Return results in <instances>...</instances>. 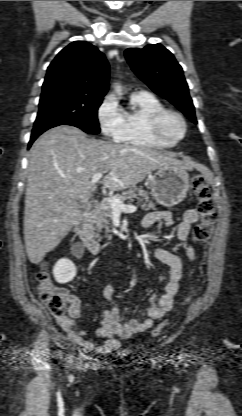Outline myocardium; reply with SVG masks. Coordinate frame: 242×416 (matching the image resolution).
<instances>
[{
  "label": "myocardium",
  "instance_id": "obj_1",
  "mask_svg": "<svg viewBox=\"0 0 242 416\" xmlns=\"http://www.w3.org/2000/svg\"><path fill=\"white\" fill-rule=\"evenodd\" d=\"M167 116H174L176 117L182 125V133L179 137H170L167 135L162 128L163 121ZM149 128L151 133L159 140L165 141L171 144H176L182 141L187 133V123L184 116L173 109L163 108L161 110L156 111L150 118L149 121Z\"/></svg>",
  "mask_w": 242,
  "mask_h": 416
}]
</instances>
